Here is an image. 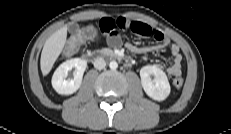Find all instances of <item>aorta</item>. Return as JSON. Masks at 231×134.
Returning a JSON list of instances; mask_svg holds the SVG:
<instances>
[{
    "mask_svg": "<svg viewBox=\"0 0 231 134\" xmlns=\"http://www.w3.org/2000/svg\"><path fill=\"white\" fill-rule=\"evenodd\" d=\"M111 70H116L118 68V63L116 61H111L109 64Z\"/></svg>",
    "mask_w": 231,
    "mask_h": 134,
    "instance_id": "aorta-1",
    "label": "aorta"
}]
</instances>
